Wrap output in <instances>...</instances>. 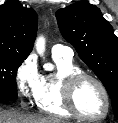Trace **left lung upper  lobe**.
<instances>
[{
    "label": "left lung upper lobe",
    "mask_w": 118,
    "mask_h": 123,
    "mask_svg": "<svg viewBox=\"0 0 118 123\" xmlns=\"http://www.w3.org/2000/svg\"><path fill=\"white\" fill-rule=\"evenodd\" d=\"M63 37L101 80L118 119V38L99 8L77 2L56 12Z\"/></svg>",
    "instance_id": "5c2ea615"
}]
</instances>
